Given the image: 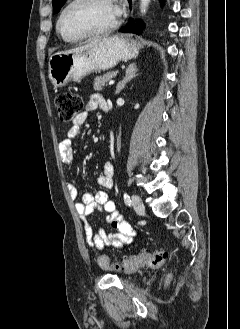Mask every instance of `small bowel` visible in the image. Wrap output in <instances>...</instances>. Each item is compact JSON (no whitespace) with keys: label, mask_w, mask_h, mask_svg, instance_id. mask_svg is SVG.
<instances>
[{"label":"small bowel","mask_w":240,"mask_h":329,"mask_svg":"<svg viewBox=\"0 0 240 329\" xmlns=\"http://www.w3.org/2000/svg\"><path fill=\"white\" fill-rule=\"evenodd\" d=\"M107 101L100 94H92L84 106V110L74 119L72 126L67 131L66 137L60 141L58 150L63 164L69 166L75 161V151L73 149V138H75L81 128L85 125L89 115L97 108L103 110ZM115 167L112 163L106 162L102 166L101 173L96 181L103 188L110 189L114 185ZM70 197L76 199L78 192L72 185H67ZM76 211L84 224V234L87 244L96 249L105 247L121 248L132 242L135 231L127 222L125 217L119 212L114 201L108 198L105 191L96 193H84L82 199L75 204ZM107 214V222L115 230L109 232L104 228L94 231L87 218L95 211Z\"/></svg>","instance_id":"small-bowel-1"}]
</instances>
